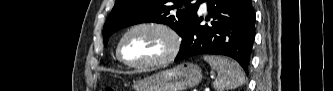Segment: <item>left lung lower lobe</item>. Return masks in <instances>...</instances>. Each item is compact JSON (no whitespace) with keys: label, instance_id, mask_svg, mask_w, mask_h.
Returning <instances> with one entry per match:
<instances>
[{"label":"left lung lower lobe","instance_id":"1","mask_svg":"<svg viewBox=\"0 0 333 91\" xmlns=\"http://www.w3.org/2000/svg\"><path fill=\"white\" fill-rule=\"evenodd\" d=\"M204 1H207L212 21L209 25H200L203 18L196 12L181 36L175 61L199 54L226 55L234 58L247 72L255 37V12L251 0Z\"/></svg>","mask_w":333,"mask_h":91}]
</instances>
